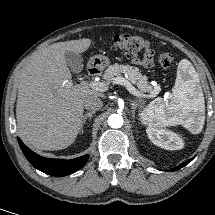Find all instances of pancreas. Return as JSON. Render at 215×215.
I'll return each instance as SVG.
<instances>
[{"label": "pancreas", "instance_id": "pancreas-1", "mask_svg": "<svg viewBox=\"0 0 215 215\" xmlns=\"http://www.w3.org/2000/svg\"><path fill=\"white\" fill-rule=\"evenodd\" d=\"M122 73L127 75V79L131 81V83L137 85L141 93H149V95H153L154 97L159 93V86L152 87L148 83L147 76L142 75L138 67L130 65H119L116 63L109 66L103 76V79L105 80L104 83L109 85L116 77L121 76Z\"/></svg>", "mask_w": 215, "mask_h": 215}]
</instances>
